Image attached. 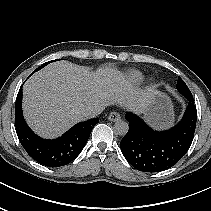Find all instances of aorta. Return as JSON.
Wrapping results in <instances>:
<instances>
[{
  "mask_svg": "<svg viewBox=\"0 0 211 211\" xmlns=\"http://www.w3.org/2000/svg\"><path fill=\"white\" fill-rule=\"evenodd\" d=\"M113 129L117 135L123 136V135L127 134L128 130H129V126L126 121L119 120L114 124Z\"/></svg>",
  "mask_w": 211,
  "mask_h": 211,
  "instance_id": "aorta-1",
  "label": "aorta"
}]
</instances>
